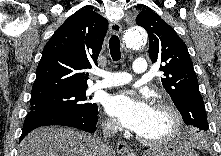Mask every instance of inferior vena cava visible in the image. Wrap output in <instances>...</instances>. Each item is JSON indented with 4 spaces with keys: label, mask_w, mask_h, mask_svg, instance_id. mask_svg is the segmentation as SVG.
I'll use <instances>...</instances> for the list:
<instances>
[{
    "label": "inferior vena cava",
    "mask_w": 221,
    "mask_h": 156,
    "mask_svg": "<svg viewBox=\"0 0 221 156\" xmlns=\"http://www.w3.org/2000/svg\"><path fill=\"white\" fill-rule=\"evenodd\" d=\"M118 127L116 126L115 123L108 121L105 123L104 128H103V134L104 137H110L112 134H114L117 131ZM100 147L102 149V152L104 153L103 155H106V152H108V147L104 143L100 142Z\"/></svg>",
    "instance_id": "obj_1"
}]
</instances>
